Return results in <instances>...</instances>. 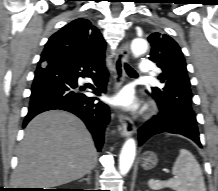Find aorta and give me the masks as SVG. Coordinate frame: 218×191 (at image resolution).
Returning <instances> with one entry per match:
<instances>
[{
    "instance_id": "aorta-1",
    "label": "aorta",
    "mask_w": 218,
    "mask_h": 191,
    "mask_svg": "<svg viewBox=\"0 0 218 191\" xmlns=\"http://www.w3.org/2000/svg\"><path fill=\"white\" fill-rule=\"evenodd\" d=\"M148 49V43L145 39L136 38L131 43V51L135 57L144 54ZM136 155V143L133 138H129L124 143L120 157H119V170L122 175L129 172Z\"/></svg>"
}]
</instances>
